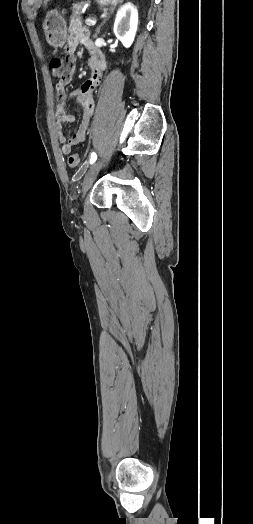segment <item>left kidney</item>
<instances>
[{
    "instance_id": "left-kidney-1",
    "label": "left kidney",
    "mask_w": 253,
    "mask_h": 524,
    "mask_svg": "<svg viewBox=\"0 0 253 524\" xmlns=\"http://www.w3.org/2000/svg\"><path fill=\"white\" fill-rule=\"evenodd\" d=\"M138 27V10L130 2L119 8L114 23V34L128 48L132 45Z\"/></svg>"
}]
</instances>
